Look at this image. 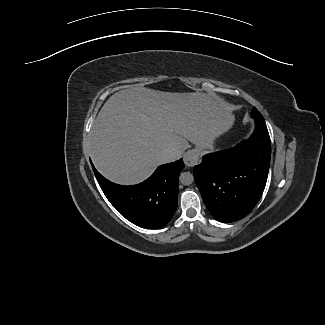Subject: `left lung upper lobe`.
<instances>
[{
  "mask_svg": "<svg viewBox=\"0 0 325 325\" xmlns=\"http://www.w3.org/2000/svg\"><path fill=\"white\" fill-rule=\"evenodd\" d=\"M252 117H262L261 113L254 107L251 113Z\"/></svg>",
  "mask_w": 325,
  "mask_h": 325,
  "instance_id": "5c2ea615",
  "label": "left lung upper lobe"
}]
</instances>
